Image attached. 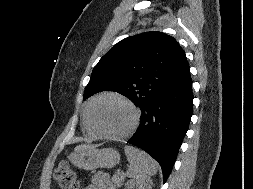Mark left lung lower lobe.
<instances>
[{"label":"left lung lower lobe","mask_w":253,"mask_h":189,"mask_svg":"<svg viewBox=\"0 0 253 189\" xmlns=\"http://www.w3.org/2000/svg\"><path fill=\"white\" fill-rule=\"evenodd\" d=\"M192 80L186 61L178 74L142 108L140 126L128 143L160 164L165 183L192 116Z\"/></svg>","instance_id":"1"}]
</instances>
